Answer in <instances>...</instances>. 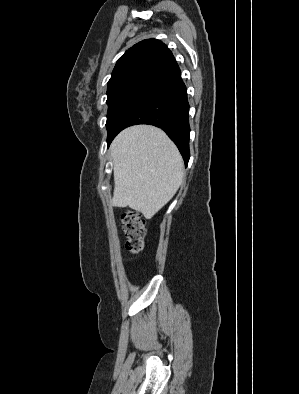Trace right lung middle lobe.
Returning a JSON list of instances; mask_svg holds the SVG:
<instances>
[{
    "label": "right lung middle lobe",
    "mask_w": 299,
    "mask_h": 394,
    "mask_svg": "<svg viewBox=\"0 0 299 394\" xmlns=\"http://www.w3.org/2000/svg\"><path fill=\"white\" fill-rule=\"evenodd\" d=\"M148 88L143 85H124L107 91L108 112L106 128L108 136L112 133L128 107Z\"/></svg>",
    "instance_id": "1"
}]
</instances>
